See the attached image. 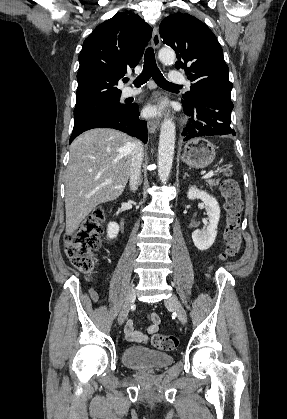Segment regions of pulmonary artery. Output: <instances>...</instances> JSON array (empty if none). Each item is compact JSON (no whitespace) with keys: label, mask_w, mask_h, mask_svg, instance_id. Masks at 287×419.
Masks as SVG:
<instances>
[{"label":"pulmonary artery","mask_w":287,"mask_h":419,"mask_svg":"<svg viewBox=\"0 0 287 419\" xmlns=\"http://www.w3.org/2000/svg\"><path fill=\"white\" fill-rule=\"evenodd\" d=\"M168 81L172 84H189V82L185 79V76L180 71H172L168 76ZM141 92V89H133V88H126L123 91V95L125 97H132L138 95Z\"/></svg>","instance_id":"pulmonary-artery-1"}]
</instances>
